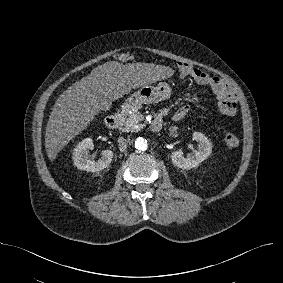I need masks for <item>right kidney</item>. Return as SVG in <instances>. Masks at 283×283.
<instances>
[{
	"label": "right kidney",
	"mask_w": 283,
	"mask_h": 283,
	"mask_svg": "<svg viewBox=\"0 0 283 283\" xmlns=\"http://www.w3.org/2000/svg\"><path fill=\"white\" fill-rule=\"evenodd\" d=\"M93 149L94 144L91 138H86L77 145L72 157L74 165L78 169L85 170L87 172H97L109 166L113 158V152L108 149L102 150L101 157L95 161L91 160L88 156L89 151Z\"/></svg>",
	"instance_id": "obj_1"
}]
</instances>
